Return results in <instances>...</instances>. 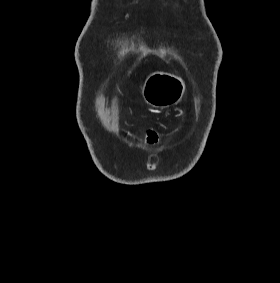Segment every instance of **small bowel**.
I'll return each instance as SVG.
<instances>
[{
    "mask_svg": "<svg viewBox=\"0 0 280 283\" xmlns=\"http://www.w3.org/2000/svg\"><path fill=\"white\" fill-rule=\"evenodd\" d=\"M124 134L128 139L135 140V137L132 136L130 133L125 131ZM156 141H157L156 133L154 131H149L148 134H147L148 145H154L156 143Z\"/></svg>",
    "mask_w": 280,
    "mask_h": 283,
    "instance_id": "small-bowel-1",
    "label": "small bowel"
}]
</instances>
